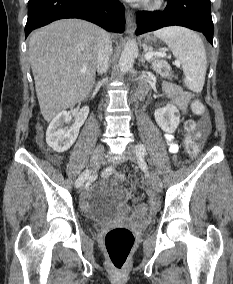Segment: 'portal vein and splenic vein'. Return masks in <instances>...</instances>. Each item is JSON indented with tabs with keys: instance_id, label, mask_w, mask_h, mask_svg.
I'll return each instance as SVG.
<instances>
[{
	"instance_id": "18ae733b",
	"label": "portal vein and splenic vein",
	"mask_w": 233,
	"mask_h": 284,
	"mask_svg": "<svg viewBox=\"0 0 233 284\" xmlns=\"http://www.w3.org/2000/svg\"><path fill=\"white\" fill-rule=\"evenodd\" d=\"M155 55H157V56H160V57H165L166 56V53H164V52H152V51H149V52H147L146 54H145V59L147 60V61H149L153 56H155ZM179 64V62H176V65H178ZM86 70L85 69H82L81 70V72H85Z\"/></svg>"
}]
</instances>
